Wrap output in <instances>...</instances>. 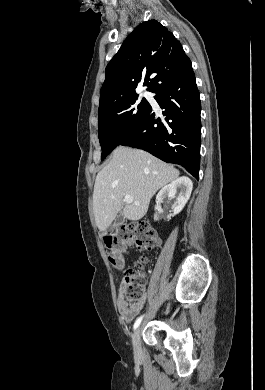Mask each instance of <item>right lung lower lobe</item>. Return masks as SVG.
<instances>
[{
    "mask_svg": "<svg viewBox=\"0 0 265 390\" xmlns=\"http://www.w3.org/2000/svg\"><path fill=\"white\" fill-rule=\"evenodd\" d=\"M154 93L164 117L157 118L150 106L119 145L143 149L165 162L179 164L198 179L201 103L191 61Z\"/></svg>",
    "mask_w": 265,
    "mask_h": 390,
    "instance_id": "98d812e1",
    "label": "right lung lower lobe"
}]
</instances>
